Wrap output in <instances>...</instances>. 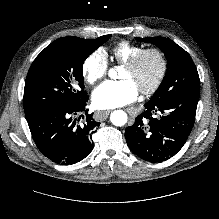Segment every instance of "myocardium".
<instances>
[{
  "label": "myocardium",
  "instance_id": "1",
  "mask_svg": "<svg viewBox=\"0 0 219 219\" xmlns=\"http://www.w3.org/2000/svg\"><path fill=\"white\" fill-rule=\"evenodd\" d=\"M149 54H154L157 56L160 63V67H159L158 75L154 80V82L150 86L139 90V92L144 96H149L154 94L161 87V85L165 80L168 71V59L165 53L160 48L157 47L143 48L141 51L135 54L131 59H129L128 61L122 64L123 67L129 70H133L139 65L141 60Z\"/></svg>",
  "mask_w": 219,
  "mask_h": 219
}]
</instances>
